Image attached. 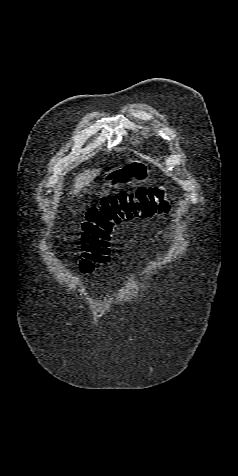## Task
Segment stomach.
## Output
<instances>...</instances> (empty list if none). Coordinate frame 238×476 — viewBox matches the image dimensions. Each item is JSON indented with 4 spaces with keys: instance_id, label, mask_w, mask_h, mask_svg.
Segmentation results:
<instances>
[{
    "instance_id": "obj_1",
    "label": "stomach",
    "mask_w": 238,
    "mask_h": 476,
    "mask_svg": "<svg viewBox=\"0 0 238 476\" xmlns=\"http://www.w3.org/2000/svg\"><path fill=\"white\" fill-rule=\"evenodd\" d=\"M145 170V164H126L107 172L103 181L105 185L113 186L128 182L129 179H143Z\"/></svg>"
}]
</instances>
